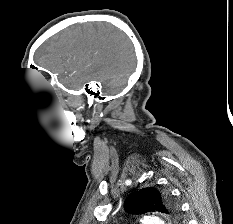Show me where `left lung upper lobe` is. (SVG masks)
Masks as SVG:
<instances>
[{"mask_svg": "<svg viewBox=\"0 0 233 224\" xmlns=\"http://www.w3.org/2000/svg\"><path fill=\"white\" fill-rule=\"evenodd\" d=\"M125 210L131 214H143L146 212H161L169 215L173 222L179 221V208L166 192H160L156 188H144L131 193L125 200Z\"/></svg>", "mask_w": 233, "mask_h": 224, "instance_id": "left-lung-upper-lobe-1", "label": "left lung upper lobe"}]
</instances>
